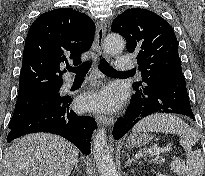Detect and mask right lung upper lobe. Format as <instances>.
<instances>
[{
	"mask_svg": "<svg viewBox=\"0 0 205 176\" xmlns=\"http://www.w3.org/2000/svg\"><path fill=\"white\" fill-rule=\"evenodd\" d=\"M95 24L85 14L60 8L38 17L25 41L18 97L61 87V67L69 60L81 63L94 38ZM17 97V98H18Z\"/></svg>",
	"mask_w": 205,
	"mask_h": 176,
	"instance_id": "cb5924a9",
	"label": "right lung upper lobe"
}]
</instances>
